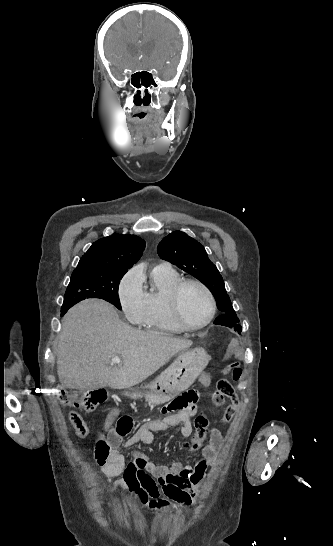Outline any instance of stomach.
Here are the masks:
<instances>
[{
  "mask_svg": "<svg viewBox=\"0 0 333 546\" xmlns=\"http://www.w3.org/2000/svg\"><path fill=\"white\" fill-rule=\"evenodd\" d=\"M210 360L211 356L201 347L185 350L153 382L128 388L123 394L131 399L144 397L154 405L166 403L189 388Z\"/></svg>",
  "mask_w": 333,
  "mask_h": 546,
  "instance_id": "1",
  "label": "stomach"
}]
</instances>
